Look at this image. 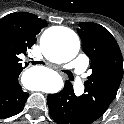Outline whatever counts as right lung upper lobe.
I'll return each mask as SVG.
<instances>
[{
  "label": "right lung upper lobe",
  "mask_w": 124,
  "mask_h": 124,
  "mask_svg": "<svg viewBox=\"0 0 124 124\" xmlns=\"http://www.w3.org/2000/svg\"><path fill=\"white\" fill-rule=\"evenodd\" d=\"M46 25L45 20L27 12L11 13L0 20V82L19 77L24 68L19 55L27 54Z\"/></svg>",
  "instance_id": "obj_1"
}]
</instances>
